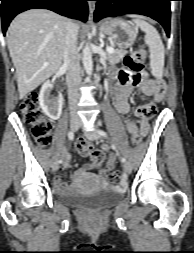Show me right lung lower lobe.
I'll return each instance as SVG.
<instances>
[{"instance_id":"obj_1","label":"right lung lower lobe","mask_w":194,"mask_h":253,"mask_svg":"<svg viewBox=\"0 0 194 253\" xmlns=\"http://www.w3.org/2000/svg\"><path fill=\"white\" fill-rule=\"evenodd\" d=\"M2 14V30L5 35L11 20L19 13L33 9L44 8L52 10L60 15L78 19L83 22L87 20L88 0H0Z\"/></svg>"}]
</instances>
